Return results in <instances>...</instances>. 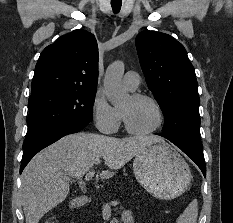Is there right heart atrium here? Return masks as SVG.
Returning a JSON list of instances; mask_svg holds the SVG:
<instances>
[{
  "label": "right heart atrium",
  "mask_w": 233,
  "mask_h": 223,
  "mask_svg": "<svg viewBox=\"0 0 233 223\" xmlns=\"http://www.w3.org/2000/svg\"><path fill=\"white\" fill-rule=\"evenodd\" d=\"M92 115L96 128L104 134H113L121 126V115L106 100L101 92H97L92 102Z\"/></svg>",
  "instance_id": "right-heart-atrium-1"
}]
</instances>
